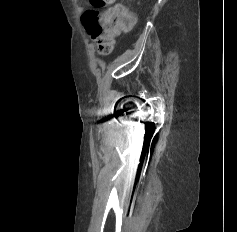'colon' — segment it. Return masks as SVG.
I'll return each mask as SVG.
<instances>
[{
	"mask_svg": "<svg viewBox=\"0 0 237 232\" xmlns=\"http://www.w3.org/2000/svg\"><path fill=\"white\" fill-rule=\"evenodd\" d=\"M115 0H90L94 8L87 9L82 15V23L91 39L96 42L101 54H109L115 44L117 35L133 28L135 15ZM111 5L105 11L98 9Z\"/></svg>",
	"mask_w": 237,
	"mask_h": 232,
	"instance_id": "5ec220e1",
	"label": "colon"
}]
</instances>
